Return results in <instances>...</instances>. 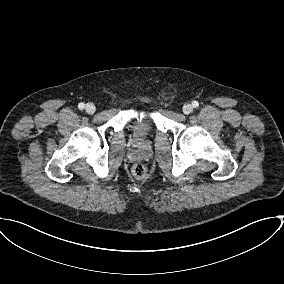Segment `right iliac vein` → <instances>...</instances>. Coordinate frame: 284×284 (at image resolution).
Here are the masks:
<instances>
[{"mask_svg": "<svg viewBox=\"0 0 284 284\" xmlns=\"http://www.w3.org/2000/svg\"><path fill=\"white\" fill-rule=\"evenodd\" d=\"M85 111L89 114H93L96 111V107L93 103H87L85 106Z\"/></svg>", "mask_w": 284, "mask_h": 284, "instance_id": "right-iliac-vein-1", "label": "right iliac vein"}]
</instances>
